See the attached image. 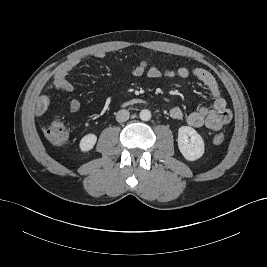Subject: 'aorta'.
<instances>
[{
	"instance_id": "obj_1",
	"label": "aorta",
	"mask_w": 267,
	"mask_h": 267,
	"mask_svg": "<svg viewBox=\"0 0 267 267\" xmlns=\"http://www.w3.org/2000/svg\"><path fill=\"white\" fill-rule=\"evenodd\" d=\"M139 117L142 121H149L151 119V112L147 109L141 110Z\"/></svg>"
}]
</instances>
